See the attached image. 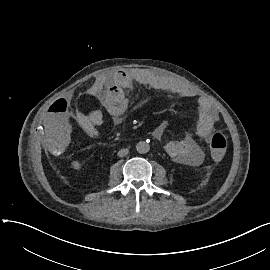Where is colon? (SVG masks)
<instances>
[{
	"label": "colon",
	"mask_w": 270,
	"mask_h": 270,
	"mask_svg": "<svg viewBox=\"0 0 270 270\" xmlns=\"http://www.w3.org/2000/svg\"><path fill=\"white\" fill-rule=\"evenodd\" d=\"M94 98L92 96H87L85 98V103L87 106H92ZM228 144V138L222 131L214 132L208 142L210 150L214 153V159L218 163H223L227 159V154L224 152Z\"/></svg>",
	"instance_id": "colon-1"
}]
</instances>
